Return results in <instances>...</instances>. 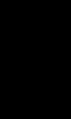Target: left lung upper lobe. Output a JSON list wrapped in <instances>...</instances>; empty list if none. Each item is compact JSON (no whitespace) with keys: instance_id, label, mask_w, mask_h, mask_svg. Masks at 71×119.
Wrapping results in <instances>:
<instances>
[{"instance_id":"5c2ea615","label":"left lung upper lobe","mask_w":71,"mask_h":119,"mask_svg":"<svg viewBox=\"0 0 71 119\" xmlns=\"http://www.w3.org/2000/svg\"><path fill=\"white\" fill-rule=\"evenodd\" d=\"M43 10L51 15L62 31L70 36L71 0H40Z\"/></svg>"}]
</instances>
